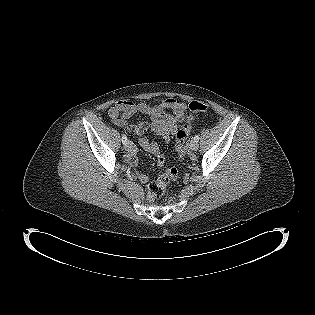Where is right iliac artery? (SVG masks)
I'll return each instance as SVG.
<instances>
[{
	"instance_id": "82829eb1",
	"label": "right iliac artery",
	"mask_w": 315,
	"mask_h": 315,
	"mask_svg": "<svg viewBox=\"0 0 315 315\" xmlns=\"http://www.w3.org/2000/svg\"><path fill=\"white\" fill-rule=\"evenodd\" d=\"M122 143L126 144L127 143V137L125 134H122Z\"/></svg>"
}]
</instances>
